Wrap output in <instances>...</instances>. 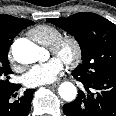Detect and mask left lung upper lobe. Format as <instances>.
<instances>
[{"mask_svg": "<svg viewBox=\"0 0 116 116\" xmlns=\"http://www.w3.org/2000/svg\"><path fill=\"white\" fill-rule=\"evenodd\" d=\"M75 37L82 64L74 72L86 79L116 73V25L94 13L80 12L68 18L47 19Z\"/></svg>", "mask_w": 116, "mask_h": 116, "instance_id": "1", "label": "left lung upper lobe"}]
</instances>
